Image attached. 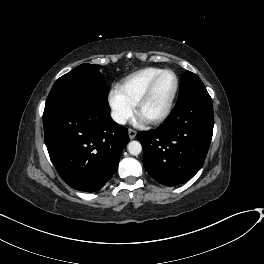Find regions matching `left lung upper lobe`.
I'll list each match as a JSON object with an SVG mask.
<instances>
[{
  "label": "left lung upper lobe",
  "mask_w": 264,
  "mask_h": 264,
  "mask_svg": "<svg viewBox=\"0 0 264 264\" xmlns=\"http://www.w3.org/2000/svg\"><path fill=\"white\" fill-rule=\"evenodd\" d=\"M206 91L207 90L204 84L196 74L190 71H186V73H184L180 84L179 99L192 93Z\"/></svg>",
  "instance_id": "left-lung-upper-lobe-1"
}]
</instances>
